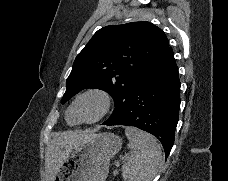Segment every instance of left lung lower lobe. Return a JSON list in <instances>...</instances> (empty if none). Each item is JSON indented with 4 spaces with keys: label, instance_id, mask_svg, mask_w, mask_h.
<instances>
[{
    "label": "left lung lower lobe",
    "instance_id": "obj_1",
    "mask_svg": "<svg viewBox=\"0 0 228 181\" xmlns=\"http://www.w3.org/2000/svg\"><path fill=\"white\" fill-rule=\"evenodd\" d=\"M180 81L171 47H167L142 72L134 85L125 115L115 123L135 126L156 136L166 158L174 143L179 117Z\"/></svg>",
    "mask_w": 228,
    "mask_h": 181
}]
</instances>
